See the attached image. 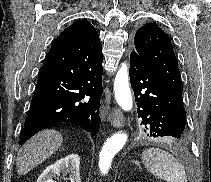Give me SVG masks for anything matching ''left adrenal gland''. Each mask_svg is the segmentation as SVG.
<instances>
[{
    "instance_id": "1",
    "label": "left adrenal gland",
    "mask_w": 211,
    "mask_h": 182,
    "mask_svg": "<svg viewBox=\"0 0 211 182\" xmlns=\"http://www.w3.org/2000/svg\"><path fill=\"white\" fill-rule=\"evenodd\" d=\"M132 163L139 165L138 161H132Z\"/></svg>"
}]
</instances>
